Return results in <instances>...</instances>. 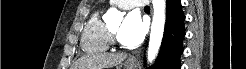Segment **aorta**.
Instances as JSON below:
<instances>
[{"label": "aorta", "mask_w": 246, "mask_h": 69, "mask_svg": "<svg viewBox=\"0 0 246 69\" xmlns=\"http://www.w3.org/2000/svg\"><path fill=\"white\" fill-rule=\"evenodd\" d=\"M153 4V20L151 25L149 46L147 52L148 63H152L161 46L164 26H165V10H166V1L165 0H152ZM123 15L116 8H110L104 16L105 22H114L121 20Z\"/></svg>", "instance_id": "aorta-1"}]
</instances>
